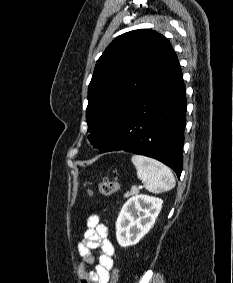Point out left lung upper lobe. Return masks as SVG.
<instances>
[{"label": "left lung upper lobe", "instance_id": "5c2ea615", "mask_svg": "<svg viewBox=\"0 0 233 283\" xmlns=\"http://www.w3.org/2000/svg\"><path fill=\"white\" fill-rule=\"evenodd\" d=\"M173 48L161 34L134 30L114 39L98 59L88 87V139L102 149L116 134L153 72Z\"/></svg>", "mask_w": 233, "mask_h": 283}]
</instances>
